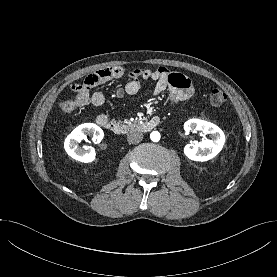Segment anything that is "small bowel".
<instances>
[{
	"label": "small bowel",
	"instance_id": "1",
	"mask_svg": "<svg viewBox=\"0 0 277 277\" xmlns=\"http://www.w3.org/2000/svg\"><path fill=\"white\" fill-rule=\"evenodd\" d=\"M123 74L124 69L122 67L114 66L100 69L88 75L82 84L74 87L77 105L85 106L92 104L96 107L102 106L105 102V96L99 91L91 93V89L112 79L120 78ZM129 78L124 86L116 89L115 95L118 98L136 94L140 90L142 82L145 80L155 82V95H160L167 91L169 102L173 105L188 100L194 91L189 78L164 67L158 69H135L129 73ZM105 118H108L107 115L99 114L96 117V122L98 123L100 119Z\"/></svg>",
	"mask_w": 277,
	"mask_h": 277
}]
</instances>
